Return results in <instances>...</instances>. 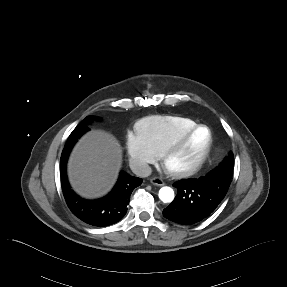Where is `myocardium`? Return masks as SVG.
<instances>
[{
    "mask_svg": "<svg viewBox=\"0 0 287 287\" xmlns=\"http://www.w3.org/2000/svg\"><path fill=\"white\" fill-rule=\"evenodd\" d=\"M207 129L209 132V141L208 144L203 151L202 155L199 157V159L191 166L185 167V168H170L169 167V161L170 159L176 155L180 150L184 148V146L187 144L189 139L199 130V129ZM214 144V136L213 132L210 127L207 125H196L190 130L186 131L182 135H180L176 140H174L167 149L162 154V160L161 165L164 169V171L171 177L176 179H183L187 178L193 174H195L197 171H199L202 166L205 164L207 159L210 156V153L212 151Z\"/></svg>",
    "mask_w": 287,
    "mask_h": 287,
    "instance_id": "obj_1",
    "label": "myocardium"
}]
</instances>
